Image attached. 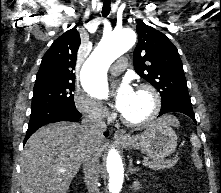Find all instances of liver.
Wrapping results in <instances>:
<instances>
[{
  "mask_svg": "<svg viewBox=\"0 0 221 193\" xmlns=\"http://www.w3.org/2000/svg\"><path fill=\"white\" fill-rule=\"evenodd\" d=\"M160 120L179 126L172 116ZM86 145V132L79 124L59 122L38 129L21 154L22 193H66L80 169ZM104 149L105 139L101 138L97 143L99 156Z\"/></svg>",
  "mask_w": 221,
  "mask_h": 193,
  "instance_id": "6515ba94",
  "label": "liver"
}]
</instances>
